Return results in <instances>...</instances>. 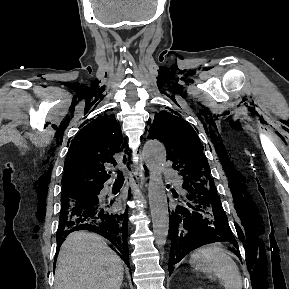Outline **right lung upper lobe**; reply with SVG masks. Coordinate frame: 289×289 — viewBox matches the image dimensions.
<instances>
[{
  "mask_svg": "<svg viewBox=\"0 0 289 289\" xmlns=\"http://www.w3.org/2000/svg\"><path fill=\"white\" fill-rule=\"evenodd\" d=\"M85 124L65 159L62 196L101 189L110 177L104 164L116 165L113 155L120 151L123 138L115 117L104 115Z\"/></svg>",
  "mask_w": 289,
  "mask_h": 289,
  "instance_id": "cb5924a9",
  "label": "right lung upper lobe"
}]
</instances>
